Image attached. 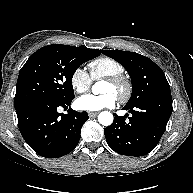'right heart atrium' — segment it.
<instances>
[{
	"label": "right heart atrium",
	"instance_id": "1",
	"mask_svg": "<svg viewBox=\"0 0 193 193\" xmlns=\"http://www.w3.org/2000/svg\"><path fill=\"white\" fill-rule=\"evenodd\" d=\"M92 79L82 67L75 68L70 75V85L76 93H84L91 87Z\"/></svg>",
	"mask_w": 193,
	"mask_h": 193
}]
</instances>
